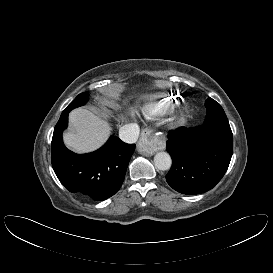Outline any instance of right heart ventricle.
<instances>
[{"label":"right heart ventricle","instance_id":"e07e8e85","mask_svg":"<svg viewBox=\"0 0 273 273\" xmlns=\"http://www.w3.org/2000/svg\"><path fill=\"white\" fill-rule=\"evenodd\" d=\"M176 100L168 94H158L149 98L142 106L141 112L146 119L155 120L172 111Z\"/></svg>","mask_w":273,"mask_h":273}]
</instances>
